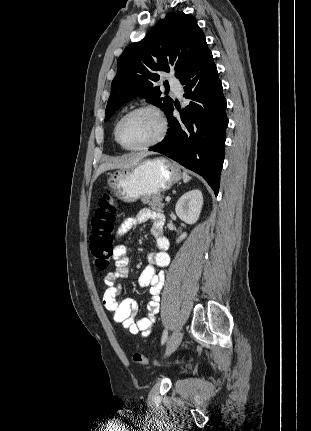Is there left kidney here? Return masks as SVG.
Instances as JSON below:
<instances>
[{"label":"left kidney","mask_w":311,"mask_h":431,"mask_svg":"<svg viewBox=\"0 0 311 431\" xmlns=\"http://www.w3.org/2000/svg\"><path fill=\"white\" fill-rule=\"evenodd\" d=\"M202 206L203 196L201 190H191V192H186V194H183V196L179 198L175 206V212L182 221H186V223H196L201 214ZM185 237H187L186 231L179 235L178 239H176L177 243L185 239Z\"/></svg>","instance_id":"left-kidney-1"}]
</instances>
